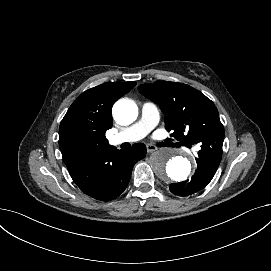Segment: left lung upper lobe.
I'll return each instance as SVG.
<instances>
[{
  "mask_svg": "<svg viewBox=\"0 0 271 271\" xmlns=\"http://www.w3.org/2000/svg\"><path fill=\"white\" fill-rule=\"evenodd\" d=\"M138 90L160 106L171 137L222 153L224 127L214 103L203 93L183 83L160 80Z\"/></svg>",
  "mask_w": 271,
  "mask_h": 271,
  "instance_id": "obj_1",
  "label": "left lung upper lobe"
}]
</instances>
